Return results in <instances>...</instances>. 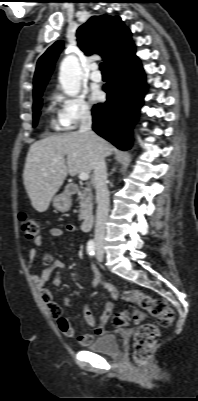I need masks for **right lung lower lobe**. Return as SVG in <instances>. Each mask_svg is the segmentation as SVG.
I'll use <instances>...</instances> for the list:
<instances>
[{
  "label": "right lung lower lobe",
  "instance_id": "obj_1",
  "mask_svg": "<svg viewBox=\"0 0 198 401\" xmlns=\"http://www.w3.org/2000/svg\"><path fill=\"white\" fill-rule=\"evenodd\" d=\"M107 101L92 109L93 130L121 150L131 147V129L145 94V75L133 47L108 67Z\"/></svg>",
  "mask_w": 198,
  "mask_h": 401
}]
</instances>
